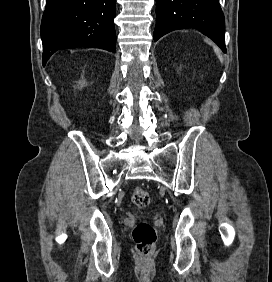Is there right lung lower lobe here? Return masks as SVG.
<instances>
[{
	"instance_id": "right-lung-lower-lobe-1",
	"label": "right lung lower lobe",
	"mask_w": 272,
	"mask_h": 282,
	"mask_svg": "<svg viewBox=\"0 0 272 282\" xmlns=\"http://www.w3.org/2000/svg\"><path fill=\"white\" fill-rule=\"evenodd\" d=\"M115 0H47L42 18L43 66L58 50L94 47L116 51Z\"/></svg>"
}]
</instances>
